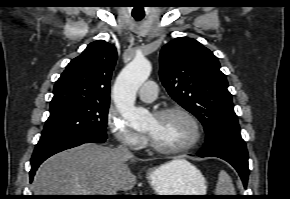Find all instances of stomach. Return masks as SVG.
<instances>
[{"label": "stomach", "mask_w": 290, "mask_h": 199, "mask_svg": "<svg viewBox=\"0 0 290 199\" xmlns=\"http://www.w3.org/2000/svg\"><path fill=\"white\" fill-rule=\"evenodd\" d=\"M157 195H206L207 183L202 173L189 162L178 165L163 164L147 173ZM166 198L197 199L198 196H171Z\"/></svg>", "instance_id": "0dacf381"}]
</instances>
